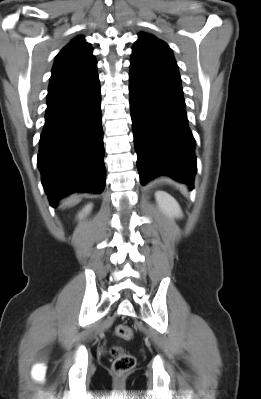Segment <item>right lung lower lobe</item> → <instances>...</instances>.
Instances as JSON below:
<instances>
[{
	"instance_id": "1",
	"label": "right lung lower lobe",
	"mask_w": 261,
	"mask_h": 399,
	"mask_svg": "<svg viewBox=\"0 0 261 399\" xmlns=\"http://www.w3.org/2000/svg\"><path fill=\"white\" fill-rule=\"evenodd\" d=\"M101 92L97 72L49 90L38 167L50 204L75 191L105 188Z\"/></svg>"
}]
</instances>
